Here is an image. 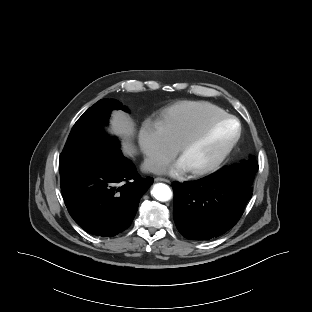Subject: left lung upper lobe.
<instances>
[{
    "mask_svg": "<svg viewBox=\"0 0 312 312\" xmlns=\"http://www.w3.org/2000/svg\"><path fill=\"white\" fill-rule=\"evenodd\" d=\"M223 170L232 174L234 177L245 183L248 187H252L255 173L258 170V163L255 160V157L251 156L248 161H241L239 164L225 167Z\"/></svg>",
    "mask_w": 312,
    "mask_h": 312,
    "instance_id": "obj_1",
    "label": "left lung upper lobe"
}]
</instances>
